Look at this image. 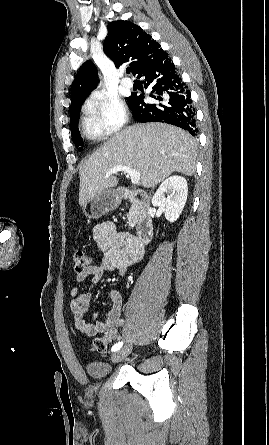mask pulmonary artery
Segmentation results:
<instances>
[{"label":"pulmonary artery","instance_id":"obj_1","mask_svg":"<svg viewBox=\"0 0 269 445\" xmlns=\"http://www.w3.org/2000/svg\"><path fill=\"white\" fill-rule=\"evenodd\" d=\"M121 84L126 88H131L133 86L132 80L127 77L121 79Z\"/></svg>","mask_w":269,"mask_h":445}]
</instances>
